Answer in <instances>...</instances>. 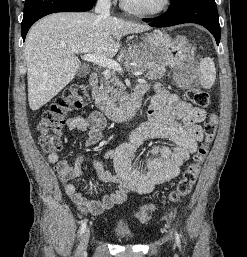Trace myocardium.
Wrapping results in <instances>:
<instances>
[{
  "instance_id": "1",
  "label": "myocardium",
  "mask_w": 247,
  "mask_h": 257,
  "mask_svg": "<svg viewBox=\"0 0 247 257\" xmlns=\"http://www.w3.org/2000/svg\"><path fill=\"white\" fill-rule=\"evenodd\" d=\"M171 5V0H162L161 4L154 9H141L130 5L126 0H121L122 8L136 16L140 17H158L165 13Z\"/></svg>"
}]
</instances>
